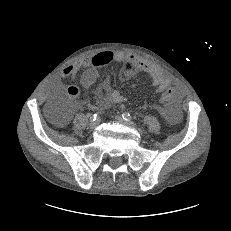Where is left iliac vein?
Returning a JSON list of instances; mask_svg holds the SVG:
<instances>
[{"label":"left iliac vein","mask_w":231,"mask_h":231,"mask_svg":"<svg viewBox=\"0 0 231 231\" xmlns=\"http://www.w3.org/2000/svg\"><path fill=\"white\" fill-rule=\"evenodd\" d=\"M116 120L121 123V124H124V125H127V126H130V127H133L135 128V126L127 121H125L121 116H116Z\"/></svg>","instance_id":"obj_1"}]
</instances>
